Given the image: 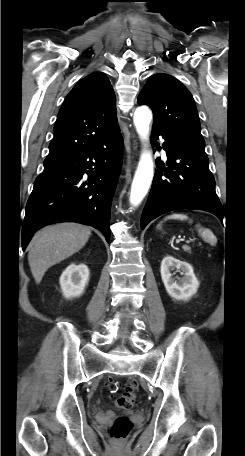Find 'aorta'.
<instances>
[{
	"label": "aorta",
	"instance_id": "aorta-1",
	"mask_svg": "<svg viewBox=\"0 0 245 456\" xmlns=\"http://www.w3.org/2000/svg\"><path fill=\"white\" fill-rule=\"evenodd\" d=\"M134 124L140 139L148 140L149 124L152 120V112L146 106L138 107L134 113ZM154 175L153 159L150 151L143 149L137 170L131 185L130 203L138 206L147 194Z\"/></svg>",
	"mask_w": 245,
	"mask_h": 456
}]
</instances>
